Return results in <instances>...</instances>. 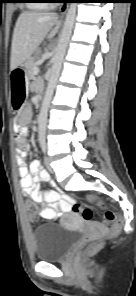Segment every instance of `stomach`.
<instances>
[{"label":"stomach","instance_id":"1","mask_svg":"<svg viewBox=\"0 0 136 296\" xmlns=\"http://www.w3.org/2000/svg\"><path fill=\"white\" fill-rule=\"evenodd\" d=\"M27 69H12L11 79L12 84H26ZM28 85H11L12 103L11 108L13 111H21L25 101H29Z\"/></svg>","mask_w":136,"mask_h":296}]
</instances>
